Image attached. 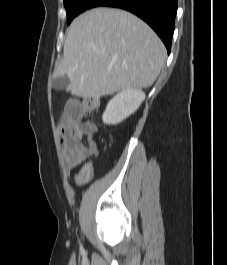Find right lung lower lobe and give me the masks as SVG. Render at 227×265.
Listing matches in <instances>:
<instances>
[{"instance_id": "98d812e1", "label": "right lung lower lobe", "mask_w": 227, "mask_h": 265, "mask_svg": "<svg viewBox=\"0 0 227 265\" xmlns=\"http://www.w3.org/2000/svg\"><path fill=\"white\" fill-rule=\"evenodd\" d=\"M98 6L122 8L134 13L151 26L170 53L177 0H94L90 8Z\"/></svg>"}]
</instances>
